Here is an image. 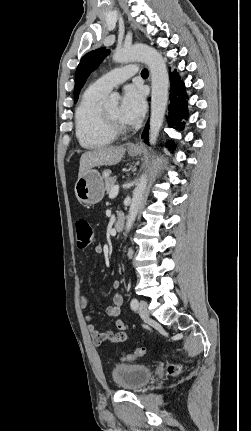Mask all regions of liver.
I'll return each instance as SVG.
<instances>
[{
	"label": "liver",
	"instance_id": "liver-1",
	"mask_svg": "<svg viewBox=\"0 0 251 431\" xmlns=\"http://www.w3.org/2000/svg\"><path fill=\"white\" fill-rule=\"evenodd\" d=\"M125 151L124 146H103L83 153L80 158L78 178L84 176L93 167L118 164Z\"/></svg>",
	"mask_w": 251,
	"mask_h": 431
}]
</instances>
